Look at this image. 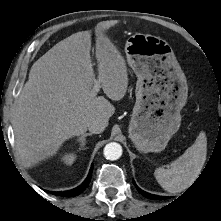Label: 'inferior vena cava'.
Listing matches in <instances>:
<instances>
[{
  "label": "inferior vena cava",
  "mask_w": 221,
  "mask_h": 221,
  "mask_svg": "<svg viewBox=\"0 0 221 221\" xmlns=\"http://www.w3.org/2000/svg\"><path fill=\"white\" fill-rule=\"evenodd\" d=\"M105 129V123L100 120H93L88 124V130L93 134H99Z\"/></svg>",
  "instance_id": "1"
}]
</instances>
